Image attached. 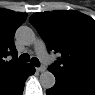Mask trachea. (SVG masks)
I'll return each instance as SVG.
<instances>
[{"instance_id": "3493384b", "label": "trachea", "mask_w": 95, "mask_h": 95, "mask_svg": "<svg viewBox=\"0 0 95 95\" xmlns=\"http://www.w3.org/2000/svg\"><path fill=\"white\" fill-rule=\"evenodd\" d=\"M19 60L21 62H29L31 61V63L36 66V67H39L40 66V62L39 60L36 58V57H33L31 60H30V56L26 53L22 54L20 57H19Z\"/></svg>"}]
</instances>
